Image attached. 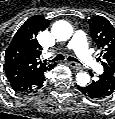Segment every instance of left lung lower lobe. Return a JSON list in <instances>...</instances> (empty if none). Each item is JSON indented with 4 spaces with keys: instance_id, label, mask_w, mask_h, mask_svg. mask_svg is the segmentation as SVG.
Here are the masks:
<instances>
[{
    "instance_id": "obj_1",
    "label": "left lung lower lobe",
    "mask_w": 115,
    "mask_h": 119,
    "mask_svg": "<svg viewBox=\"0 0 115 119\" xmlns=\"http://www.w3.org/2000/svg\"><path fill=\"white\" fill-rule=\"evenodd\" d=\"M79 91L90 99H104L115 92V79L103 73L90 85L78 87Z\"/></svg>"
}]
</instances>
